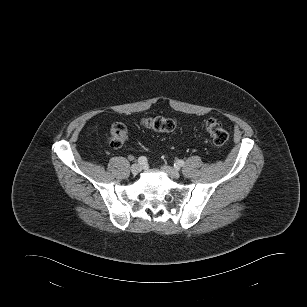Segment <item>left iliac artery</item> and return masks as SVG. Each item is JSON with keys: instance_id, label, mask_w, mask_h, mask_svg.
<instances>
[{"instance_id": "1", "label": "left iliac artery", "mask_w": 307, "mask_h": 307, "mask_svg": "<svg viewBox=\"0 0 307 307\" xmlns=\"http://www.w3.org/2000/svg\"><path fill=\"white\" fill-rule=\"evenodd\" d=\"M184 161L183 160H178L177 162H176V164H174V166H176V167H182V166H184Z\"/></svg>"}]
</instances>
